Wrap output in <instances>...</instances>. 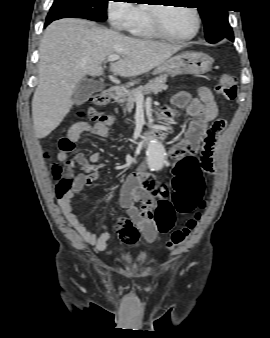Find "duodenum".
<instances>
[{"label":"duodenum","mask_w":270,"mask_h":338,"mask_svg":"<svg viewBox=\"0 0 270 338\" xmlns=\"http://www.w3.org/2000/svg\"><path fill=\"white\" fill-rule=\"evenodd\" d=\"M108 96L112 100L120 99L122 96V87L120 86L111 87L108 90ZM166 129H167L166 126L163 124L156 125L152 127L149 133L146 134V136L144 137V140H147L148 137L150 136H154L155 138H162L165 135Z\"/></svg>","instance_id":"410a0bca"}]
</instances>
